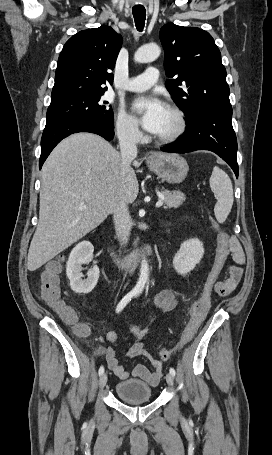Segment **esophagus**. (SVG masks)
Listing matches in <instances>:
<instances>
[{
	"mask_svg": "<svg viewBox=\"0 0 272 455\" xmlns=\"http://www.w3.org/2000/svg\"><path fill=\"white\" fill-rule=\"evenodd\" d=\"M153 155H154V154L151 152V153H149V154H148V156H147V157L150 159V158H152V157H153Z\"/></svg>",
	"mask_w": 272,
	"mask_h": 455,
	"instance_id": "esophagus-1",
	"label": "esophagus"
}]
</instances>
